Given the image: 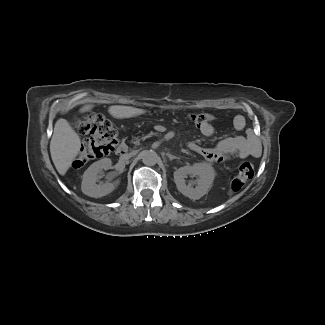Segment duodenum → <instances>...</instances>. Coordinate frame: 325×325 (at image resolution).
I'll return each mask as SVG.
<instances>
[{
	"instance_id": "410a0bca",
	"label": "duodenum",
	"mask_w": 325,
	"mask_h": 325,
	"mask_svg": "<svg viewBox=\"0 0 325 325\" xmlns=\"http://www.w3.org/2000/svg\"><path fill=\"white\" fill-rule=\"evenodd\" d=\"M128 146L126 144H120V146L117 149V153L119 156H124L127 154Z\"/></svg>"
}]
</instances>
